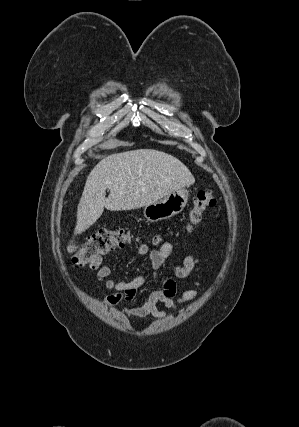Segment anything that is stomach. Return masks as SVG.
Instances as JSON below:
<instances>
[{
    "label": "stomach",
    "instance_id": "0dacf381",
    "mask_svg": "<svg viewBox=\"0 0 299 427\" xmlns=\"http://www.w3.org/2000/svg\"><path fill=\"white\" fill-rule=\"evenodd\" d=\"M189 197L185 188L178 189L158 202L146 205L143 211L144 217L150 222L169 219L183 211Z\"/></svg>",
    "mask_w": 299,
    "mask_h": 427
}]
</instances>
